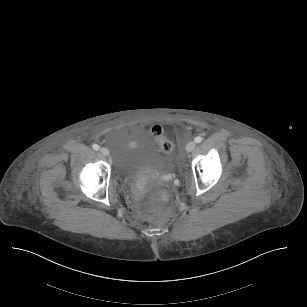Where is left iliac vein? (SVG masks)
Returning a JSON list of instances; mask_svg holds the SVG:
<instances>
[{
    "instance_id": "obj_1",
    "label": "left iliac vein",
    "mask_w": 307,
    "mask_h": 307,
    "mask_svg": "<svg viewBox=\"0 0 307 307\" xmlns=\"http://www.w3.org/2000/svg\"><path fill=\"white\" fill-rule=\"evenodd\" d=\"M196 144L194 141H190L188 144H187V147H186V150L187 152H191L194 150Z\"/></svg>"
}]
</instances>
